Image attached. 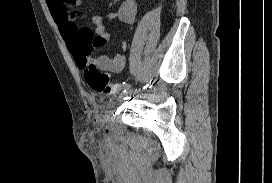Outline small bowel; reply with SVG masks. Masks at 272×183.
Returning <instances> with one entry per match:
<instances>
[{"instance_id":"c3829d8e","label":"small bowel","mask_w":272,"mask_h":183,"mask_svg":"<svg viewBox=\"0 0 272 183\" xmlns=\"http://www.w3.org/2000/svg\"><path fill=\"white\" fill-rule=\"evenodd\" d=\"M46 2L79 69L86 70L89 66H94L99 70L113 74H118L124 69L125 58L122 55L114 57L92 56V52L97 47L107 44L110 40V34L99 14H89L90 22L93 25L91 28L78 23L80 0H46ZM137 14L136 0H123L113 16H116L121 22L133 26ZM120 47L125 50L127 43L121 42Z\"/></svg>"}]
</instances>
